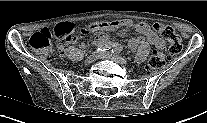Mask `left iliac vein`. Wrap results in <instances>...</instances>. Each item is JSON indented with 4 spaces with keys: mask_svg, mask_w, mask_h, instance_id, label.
<instances>
[{
    "mask_svg": "<svg viewBox=\"0 0 207 123\" xmlns=\"http://www.w3.org/2000/svg\"><path fill=\"white\" fill-rule=\"evenodd\" d=\"M100 57L104 58V59H110V60L115 61L119 64H126L127 63V61L124 58H122L118 55H115L111 52H103L100 54Z\"/></svg>",
    "mask_w": 207,
    "mask_h": 123,
    "instance_id": "obj_1",
    "label": "left iliac vein"
}]
</instances>
